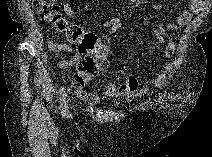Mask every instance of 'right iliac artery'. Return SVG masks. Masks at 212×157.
Returning <instances> with one entry per match:
<instances>
[{
  "label": "right iliac artery",
  "instance_id": "82829eb1",
  "mask_svg": "<svg viewBox=\"0 0 212 157\" xmlns=\"http://www.w3.org/2000/svg\"><path fill=\"white\" fill-rule=\"evenodd\" d=\"M59 99H60V109L62 113H64L66 112V101H65V91L63 87H61L59 90Z\"/></svg>",
  "mask_w": 212,
  "mask_h": 157
}]
</instances>
